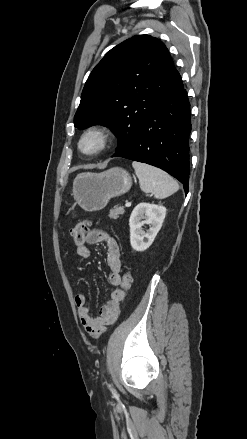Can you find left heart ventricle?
<instances>
[{
  "instance_id": "1",
  "label": "left heart ventricle",
  "mask_w": 247,
  "mask_h": 439,
  "mask_svg": "<svg viewBox=\"0 0 247 439\" xmlns=\"http://www.w3.org/2000/svg\"><path fill=\"white\" fill-rule=\"evenodd\" d=\"M99 144V138L97 136H89L83 142V148L86 151H91L95 149Z\"/></svg>"
}]
</instances>
